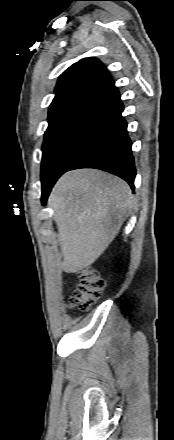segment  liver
I'll return each mask as SVG.
<instances>
[{
	"instance_id": "6515ba94",
	"label": "liver",
	"mask_w": 174,
	"mask_h": 440,
	"mask_svg": "<svg viewBox=\"0 0 174 440\" xmlns=\"http://www.w3.org/2000/svg\"><path fill=\"white\" fill-rule=\"evenodd\" d=\"M48 205L58 229L62 268L74 273L94 263L108 247L134 200L129 185L119 177L80 169L60 177Z\"/></svg>"
}]
</instances>
